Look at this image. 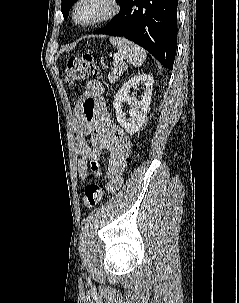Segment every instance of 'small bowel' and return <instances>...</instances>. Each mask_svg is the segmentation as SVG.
<instances>
[{"instance_id":"obj_1","label":"small bowel","mask_w":239,"mask_h":303,"mask_svg":"<svg viewBox=\"0 0 239 303\" xmlns=\"http://www.w3.org/2000/svg\"><path fill=\"white\" fill-rule=\"evenodd\" d=\"M102 93L103 86L99 81L88 82L76 110L78 117L84 115L86 118L89 116V119H93L91 145H88L84 138L85 124L79 121L76 125L78 134L77 151L80 155L78 174L81 180H86L89 161L98 159L100 154L106 151L109 158L105 190L108 193H113L123 184V173L132 152V142L119 125L111 122L101 98Z\"/></svg>"}]
</instances>
